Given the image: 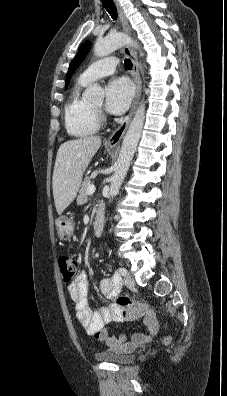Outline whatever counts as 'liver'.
<instances>
[{
  "label": "liver",
  "instance_id": "1",
  "mask_svg": "<svg viewBox=\"0 0 227 396\" xmlns=\"http://www.w3.org/2000/svg\"><path fill=\"white\" fill-rule=\"evenodd\" d=\"M101 146L98 136L69 140L60 145L53 171L54 203L61 214L75 199L85 169Z\"/></svg>",
  "mask_w": 227,
  "mask_h": 396
}]
</instances>
